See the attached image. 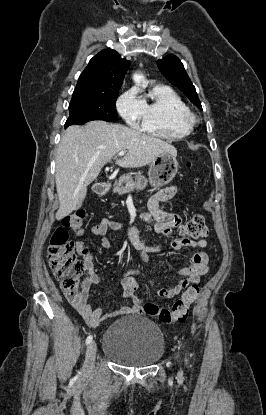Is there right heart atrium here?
<instances>
[{
	"label": "right heart atrium",
	"instance_id": "1",
	"mask_svg": "<svg viewBox=\"0 0 266 415\" xmlns=\"http://www.w3.org/2000/svg\"><path fill=\"white\" fill-rule=\"evenodd\" d=\"M116 106L124 121L132 127H137L143 119V100L138 96L137 90L134 88L125 91L118 98Z\"/></svg>",
	"mask_w": 266,
	"mask_h": 415
}]
</instances>
